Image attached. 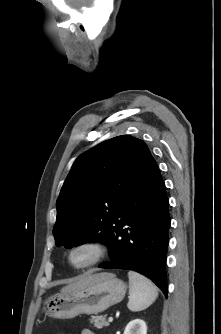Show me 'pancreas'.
<instances>
[{
    "label": "pancreas",
    "mask_w": 221,
    "mask_h": 334,
    "mask_svg": "<svg viewBox=\"0 0 221 334\" xmlns=\"http://www.w3.org/2000/svg\"><path fill=\"white\" fill-rule=\"evenodd\" d=\"M90 323H92L94 327L98 329L109 326V322L106 321L105 316H92Z\"/></svg>",
    "instance_id": "cf45deb5"
}]
</instances>
